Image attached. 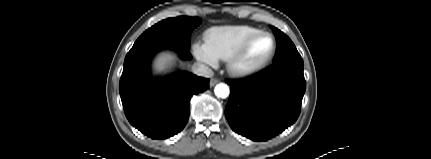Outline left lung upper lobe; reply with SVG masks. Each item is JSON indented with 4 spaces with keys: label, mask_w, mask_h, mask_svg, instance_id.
<instances>
[{
    "label": "left lung upper lobe",
    "mask_w": 431,
    "mask_h": 159,
    "mask_svg": "<svg viewBox=\"0 0 431 159\" xmlns=\"http://www.w3.org/2000/svg\"><path fill=\"white\" fill-rule=\"evenodd\" d=\"M273 32L278 43L274 64L285 61L303 62L290 38L275 27H273Z\"/></svg>",
    "instance_id": "left-lung-upper-lobe-1"
}]
</instances>
